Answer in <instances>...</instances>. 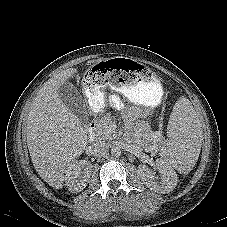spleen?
Masks as SVG:
<instances>
[{"instance_id": "spleen-1", "label": "spleen", "mask_w": 227, "mask_h": 227, "mask_svg": "<svg viewBox=\"0 0 227 227\" xmlns=\"http://www.w3.org/2000/svg\"><path fill=\"white\" fill-rule=\"evenodd\" d=\"M168 135L170 142L163 151L165 158L178 172L188 173L199 156L202 129L200 120L186 101H179L175 105Z\"/></svg>"}]
</instances>
